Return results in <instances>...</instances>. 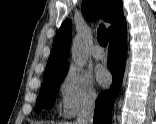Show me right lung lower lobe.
<instances>
[{"mask_svg":"<svg viewBox=\"0 0 156 124\" xmlns=\"http://www.w3.org/2000/svg\"><path fill=\"white\" fill-rule=\"evenodd\" d=\"M127 57L126 29L110 38L108 68L112 73L113 84L102 92L96 102L94 124H111L112 108L122 84Z\"/></svg>","mask_w":156,"mask_h":124,"instance_id":"1","label":"right lung lower lobe"}]
</instances>
